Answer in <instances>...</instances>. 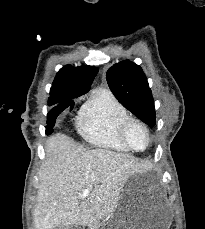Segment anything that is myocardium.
Segmentation results:
<instances>
[{
    "instance_id": "f54148a6",
    "label": "myocardium",
    "mask_w": 205,
    "mask_h": 229,
    "mask_svg": "<svg viewBox=\"0 0 205 229\" xmlns=\"http://www.w3.org/2000/svg\"><path fill=\"white\" fill-rule=\"evenodd\" d=\"M132 125H139L145 132L146 134V138H147V142H146V145L144 148L142 149H137L135 147H133L128 139V131L130 129V127ZM120 137H121V140L123 141V143L131 150V151H134V152H143L145 151L150 143H151V134H150V131H149V128L148 126L140 119L136 118V117H132V116H129L128 118H126L122 124H121V127H120Z\"/></svg>"
}]
</instances>
